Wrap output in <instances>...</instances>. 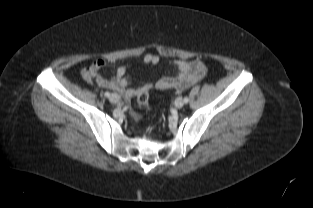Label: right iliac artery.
Instances as JSON below:
<instances>
[{
	"label": "right iliac artery",
	"instance_id": "1",
	"mask_svg": "<svg viewBox=\"0 0 313 208\" xmlns=\"http://www.w3.org/2000/svg\"><path fill=\"white\" fill-rule=\"evenodd\" d=\"M105 96H106L107 98H109V97H110V93H109V92H105Z\"/></svg>",
	"mask_w": 313,
	"mask_h": 208
}]
</instances>
